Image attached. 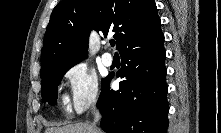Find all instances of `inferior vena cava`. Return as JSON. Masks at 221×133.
I'll return each mask as SVG.
<instances>
[{"instance_id": "inferior-vena-cava-1", "label": "inferior vena cava", "mask_w": 221, "mask_h": 133, "mask_svg": "<svg viewBox=\"0 0 221 133\" xmlns=\"http://www.w3.org/2000/svg\"><path fill=\"white\" fill-rule=\"evenodd\" d=\"M92 114L94 116V121H93L92 127L94 129H97L96 128V123L101 119V115L95 107L92 108Z\"/></svg>"}]
</instances>
